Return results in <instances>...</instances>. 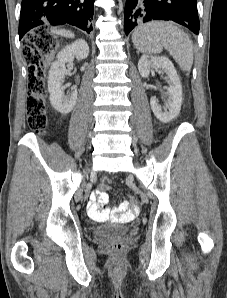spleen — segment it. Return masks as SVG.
<instances>
[{"label": "spleen", "mask_w": 227, "mask_h": 298, "mask_svg": "<svg viewBox=\"0 0 227 298\" xmlns=\"http://www.w3.org/2000/svg\"><path fill=\"white\" fill-rule=\"evenodd\" d=\"M132 41L144 54L160 53L164 47L184 71H190L193 65L192 41L171 22L153 21L141 25L132 34Z\"/></svg>", "instance_id": "obj_1"}]
</instances>
